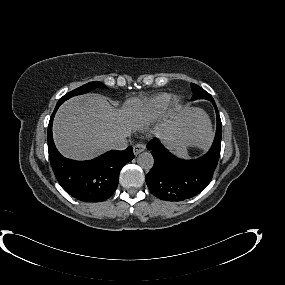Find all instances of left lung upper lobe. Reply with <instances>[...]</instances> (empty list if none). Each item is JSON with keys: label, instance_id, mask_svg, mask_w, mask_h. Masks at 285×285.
<instances>
[{"label": "left lung upper lobe", "instance_id": "1", "mask_svg": "<svg viewBox=\"0 0 285 285\" xmlns=\"http://www.w3.org/2000/svg\"><path fill=\"white\" fill-rule=\"evenodd\" d=\"M191 87L193 92L192 100L196 99H207L209 101L213 100L212 96L208 92H206L204 89L197 86L196 84L192 83Z\"/></svg>", "mask_w": 285, "mask_h": 285}]
</instances>
